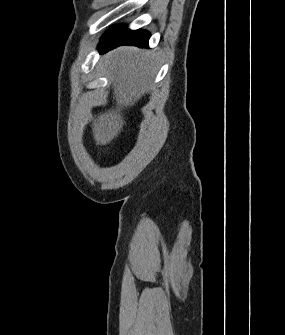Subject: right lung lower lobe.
<instances>
[{"mask_svg": "<svg viewBox=\"0 0 285 335\" xmlns=\"http://www.w3.org/2000/svg\"><path fill=\"white\" fill-rule=\"evenodd\" d=\"M150 33L142 30L130 31L123 25L113 27L101 39L99 49L104 53L120 45L147 47Z\"/></svg>", "mask_w": 285, "mask_h": 335, "instance_id": "98d812e1", "label": "right lung lower lobe"}]
</instances>
